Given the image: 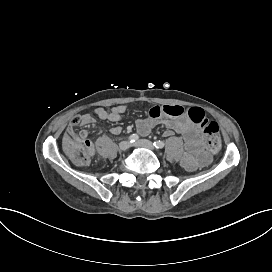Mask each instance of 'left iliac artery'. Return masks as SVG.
Instances as JSON below:
<instances>
[{"label": "left iliac artery", "mask_w": 272, "mask_h": 272, "mask_svg": "<svg viewBox=\"0 0 272 272\" xmlns=\"http://www.w3.org/2000/svg\"><path fill=\"white\" fill-rule=\"evenodd\" d=\"M154 146L157 148V149H161V148H163L164 147V142H162V141H155L154 143Z\"/></svg>", "instance_id": "left-iliac-artery-1"}]
</instances>
